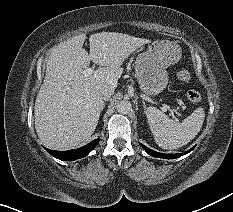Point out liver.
Segmentation results:
<instances>
[{
    "label": "liver",
    "mask_w": 233,
    "mask_h": 212,
    "mask_svg": "<svg viewBox=\"0 0 233 212\" xmlns=\"http://www.w3.org/2000/svg\"><path fill=\"white\" fill-rule=\"evenodd\" d=\"M85 34L61 42L49 54L43 84L37 94L35 129L41 142L54 150L78 147L96 129L104 102L101 86L117 87L121 65L150 40L117 32L89 37L90 54L83 49ZM90 61L100 67L93 75L83 70Z\"/></svg>",
    "instance_id": "1"
}]
</instances>
